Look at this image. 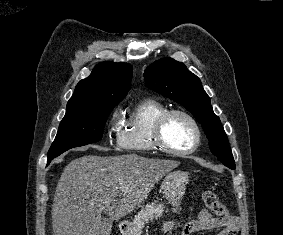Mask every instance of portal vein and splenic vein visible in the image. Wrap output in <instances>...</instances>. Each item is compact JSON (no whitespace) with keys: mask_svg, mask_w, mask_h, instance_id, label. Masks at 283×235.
<instances>
[{"mask_svg":"<svg viewBox=\"0 0 283 235\" xmlns=\"http://www.w3.org/2000/svg\"><path fill=\"white\" fill-rule=\"evenodd\" d=\"M120 190H121V192H126L128 190V188L123 186V187L120 188Z\"/></svg>","mask_w":283,"mask_h":235,"instance_id":"18ae733b","label":"portal vein and splenic vein"}]
</instances>
